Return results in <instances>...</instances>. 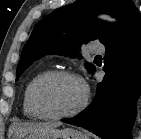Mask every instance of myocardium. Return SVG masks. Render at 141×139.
<instances>
[{"label":"myocardium","instance_id":"obj_1","mask_svg":"<svg viewBox=\"0 0 141 139\" xmlns=\"http://www.w3.org/2000/svg\"><path fill=\"white\" fill-rule=\"evenodd\" d=\"M58 77H69L77 80L82 86L83 95L79 104L73 109L63 113H51L45 108V106L42 103L41 90L48 81ZM88 100L89 88L83 77L73 71L66 69H56L46 72L36 80L31 90V101L33 107L42 118L49 120H58L79 114L87 106Z\"/></svg>","mask_w":141,"mask_h":139}]
</instances>
